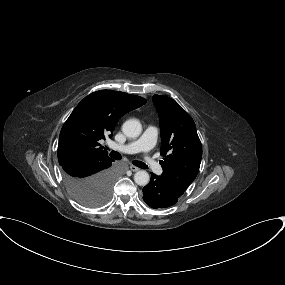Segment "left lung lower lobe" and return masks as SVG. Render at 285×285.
<instances>
[{
	"instance_id": "left-lung-lower-lobe-1",
	"label": "left lung lower lobe",
	"mask_w": 285,
	"mask_h": 285,
	"mask_svg": "<svg viewBox=\"0 0 285 285\" xmlns=\"http://www.w3.org/2000/svg\"><path fill=\"white\" fill-rule=\"evenodd\" d=\"M183 193L167 177L151 173L149 184L143 188V200L151 208H167L174 205Z\"/></svg>"
}]
</instances>
